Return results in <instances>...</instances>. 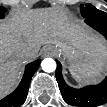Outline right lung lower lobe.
<instances>
[{"mask_svg":"<svg viewBox=\"0 0 107 107\" xmlns=\"http://www.w3.org/2000/svg\"><path fill=\"white\" fill-rule=\"evenodd\" d=\"M40 62H41L40 60H36L26 66L25 73L23 75L22 81L20 82L18 88L13 93L2 99L0 101V106L18 107L24 103L27 97V92L31 78L38 69Z\"/></svg>","mask_w":107,"mask_h":107,"instance_id":"98d812e1","label":"right lung lower lobe"}]
</instances>
